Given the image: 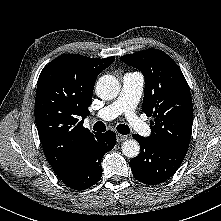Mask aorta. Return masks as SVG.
Instances as JSON below:
<instances>
[{"label": "aorta", "mask_w": 221, "mask_h": 221, "mask_svg": "<svg viewBox=\"0 0 221 221\" xmlns=\"http://www.w3.org/2000/svg\"><path fill=\"white\" fill-rule=\"evenodd\" d=\"M120 83L112 75H103L96 83V93L103 100H111L118 96ZM122 153L129 158L136 157L140 152L139 143L134 140H126L121 146Z\"/></svg>", "instance_id": "aorta-1"}]
</instances>
